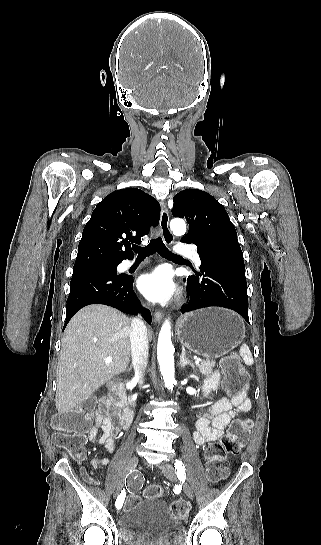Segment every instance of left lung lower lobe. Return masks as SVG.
Segmentation results:
<instances>
[{
  "label": "left lung lower lobe",
  "instance_id": "left-lung-lower-lobe-1",
  "mask_svg": "<svg viewBox=\"0 0 321 545\" xmlns=\"http://www.w3.org/2000/svg\"><path fill=\"white\" fill-rule=\"evenodd\" d=\"M197 252L201 273L184 278L190 300L181 312L219 306L238 312L249 323L245 267L237 238H218L199 244Z\"/></svg>",
  "mask_w": 321,
  "mask_h": 545
}]
</instances>
